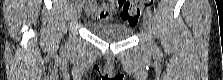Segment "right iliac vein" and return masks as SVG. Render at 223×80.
Returning a JSON list of instances; mask_svg holds the SVG:
<instances>
[{
	"label": "right iliac vein",
	"mask_w": 223,
	"mask_h": 80,
	"mask_svg": "<svg viewBox=\"0 0 223 80\" xmlns=\"http://www.w3.org/2000/svg\"><path fill=\"white\" fill-rule=\"evenodd\" d=\"M82 7L80 4H77L74 8V18L77 20L81 15Z\"/></svg>",
	"instance_id": "1"
}]
</instances>
